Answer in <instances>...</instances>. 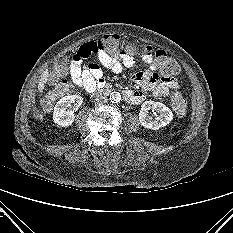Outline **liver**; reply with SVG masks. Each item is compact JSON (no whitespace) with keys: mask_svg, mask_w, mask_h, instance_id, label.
<instances>
[{"mask_svg":"<svg viewBox=\"0 0 233 233\" xmlns=\"http://www.w3.org/2000/svg\"><path fill=\"white\" fill-rule=\"evenodd\" d=\"M48 71L45 70L41 76V79L38 83V89L40 92H43L46 82L48 81Z\"/></svg>","mask_w":233,"mask_h":233,"instance_id":"liver-1","label":"liver"}]
</instances>
